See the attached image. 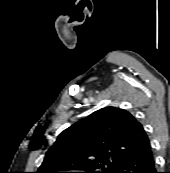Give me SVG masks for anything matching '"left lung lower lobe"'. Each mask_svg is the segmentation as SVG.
Returning a JSON list of instances; mask_svg holds the SVG:
<instances>
[{
	"label": "left lung lower lobe",
	"instance_id": "left-lung-lower-lobe-1",
	"mask_svg": "<svg viewBox=\"0 0 170 173\" xmlns=\"http://www.w3.org/2000/svg\"><path fill=\"white\" fill-rule=\"evenodd\" d=\"M114 173H157L151 146L149 145L142 152L128 156Z\"/></svg>",
	"mask_w": 170,
	"mask_h": 173
}]
</instances>
